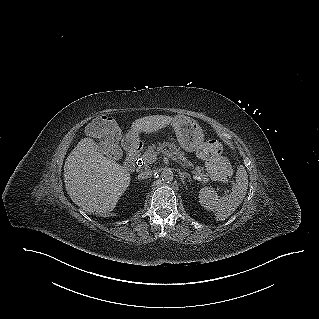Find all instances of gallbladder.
<instances>
[{"mask_svg":"<svg viewBox=\"0 0 319 319\" xmlns=\"http://www.w3.org/2000/svg\"><path fill=\"white\" fill-rule=\"evenodd\" d=\"M119 149V146L117 143H114V144H111V143H108V145L106 146H103V152L107 155L108 158H115V155H114V151Z\"/></svg>","mask_w":319,"mask_h":319,"instance_id":"1","label":"gallbladder"}]
</instances>
